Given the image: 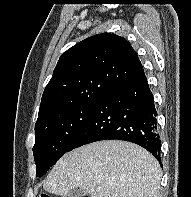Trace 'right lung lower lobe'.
Instances as JSON below:
<instances>
[{"label": "right lung lower lobe", "instance_id": "obj_1", "mask_svg": "<svg viewBox=\"0 0 191 197\" xmlns=\"http://www.w3.org/2000/svg\"><path fill=\"white\" fill-rule=\"evenodd\" d=\"M153 94L144 71L108 88L69 146L119 139L138 144L160 161L161 140Z\"/></svg>", "mask_w": 191, "mask_h": 197}]
</instances>
